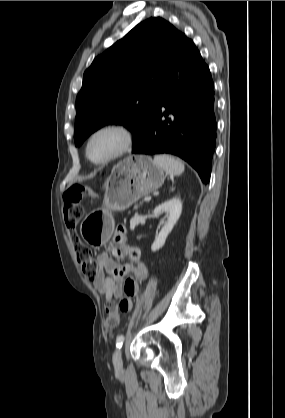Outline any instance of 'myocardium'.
Returning <instances> with one entry per match:
<instances>
[{
  "mask_svg": "<svg viewBox=\"0 0 285 418\" xmlns=\"http://www.w3.org/2000/svg\"><path fill=\"white\" fill-rule=\"evenodd\" d=\"M109 131L115 132V133L120 135V137H121L120 145L118 146V148L113 153L108 155L106 158H104L102 160H99V161L93 160L91 158L90 154H89V146H90L92 140L97 135H99L103 132H109ZM133 143H134L133 133L127 126H125L121 123L103 124V125L95 128L93 131H91V133L87 136L86 141H85V145H84L85 157L92 164L104 165V164H107V163H109V162L127 154L132 149Z\"/></svg>",
  "mask_w": 285,
  "mask_h": 418,
  "instance_id": "obj_1",
  "label": "myocardium"
}]
</instances>
